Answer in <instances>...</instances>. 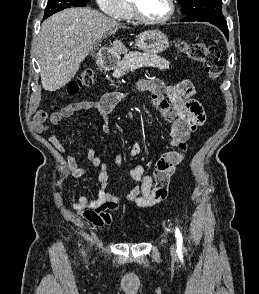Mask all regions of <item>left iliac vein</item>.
<instances>
[{"instance_id":"4c4485c4","label":"left iliac vein","mask_w":259,"mask_h":294,"mask_svg":"<svg viewBox=\"0 0 259 294\" xmlns=\"http://www.w3.org/2000/svg\"><path fill=\"white\" fill-rule=\"evenodd\" d=\"M170 250H171V253L173 255H175V253H176V244H175V242H172Z\"/></svg>"}]
</instances>
